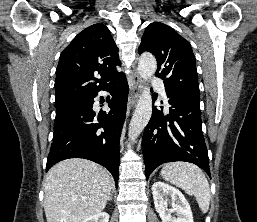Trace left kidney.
Wrapping results in <instances>:
<instances>
[{
    "instance_id": "5707ae66",
    "label": "left kidney",
    "mask_w": 257,
    "mask_h": 222,
    "mask_svg": "<svg viewBox=\"0 0 257 222\" xmlns=\"http://www.w3.org/2000/svg\"><path fill=\"white\" fill-rule=\"evenodd\" d=\"M152 194L155 209L162 222H194L190 205L181 191L158 181L152 185ZM168 203L172 204L171 209H168ZM171 213H175L177 217H172Z\"/></svg>"
}]
</instances>
